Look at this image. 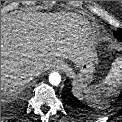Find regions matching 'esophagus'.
I'll return each instance as SVG.
<instances>
[{
  "instance_id": "esophagus-1",
  "label": "esophagus",
  "mask_w": 122,
  "mask_h": 122,
  "mask_svg": "<svg viewBox=\"0 0 122 122\" xmlns=\"http://www.w3.org/2000/svg\"><path fill=\"white\" fill-rule=\"evenodd\" d=\"M65 68H66L65 64L61 61H56L52 65V69L58 70V71H63L65 70Z\"/></svg>"
}]
</instances>
